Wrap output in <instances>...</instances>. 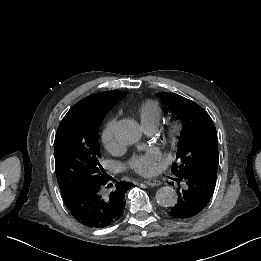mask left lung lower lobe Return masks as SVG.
<instances>
[{"mask_svg": "<svg viewBox=\"0 0 261 261\" xmlns=\"http://www.w3.org/2000/svg\"><path fill=\"white\" fill-rule=\"evenodd\" d=\"M184 182L178 188L177 203L171 208L169 214L175 218H190L200 213L208 204L215 189L214 179L206 178L194 172H187L177 181Z\"/></svg>", "mask_w": 261, "mask_h": 261, "instance_id": "left-lung-lower-lobe-1", "label": "left lung lower lobe"}]
</instances>
